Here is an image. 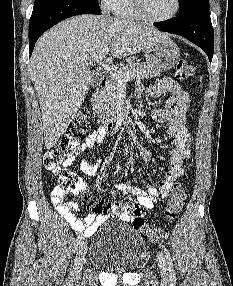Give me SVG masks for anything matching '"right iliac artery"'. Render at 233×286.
Segmentation results:
<instances>
[{"mask_svg":"<svg viewBox=\"0 0 233 286\" xmlns=\"http://www.w3.org/2000/svg\"><path fill=\"white\" fill-rule=\"evenodd\" d=\"M80 243H81V236H78L74 242V251L78 250ZM66 283L69 284V280H67Z\"/></svg>","mask_w":233,"mask_h":286,"instance_id":"right-iliac-artery-1","label":"right iliac artery"}]
</instances>
